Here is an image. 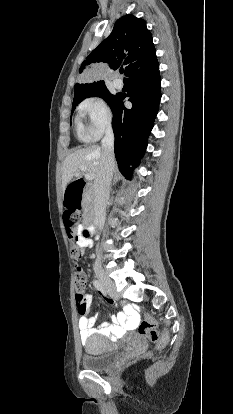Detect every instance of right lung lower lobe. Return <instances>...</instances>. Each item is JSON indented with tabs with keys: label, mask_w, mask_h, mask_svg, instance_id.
Wrapping results in <instances>:
<instances>
[{
	"label": "right lung lower lobe",
	"mask_w": 233,
	"mask_h": 414,
	"mask_svg": "<svg viewBox=\"0 0 233 414\" xmlns=\"http://www.w3.org/2000/svg\"><path fill=\"white\" fill-rule=\"evenodd\" d=\"M131 90L117 94L110 105L113 112L112 126L115 135V157L121 173L129 178L147 147L161 99L159 66L149 73L129 79ZM130 97L132 108L124 106L123 99ZM132 166V167H131Z\"/></svg>",
	"instance_id": "right-lung-lower-lobe-1"
}]
</instances>
